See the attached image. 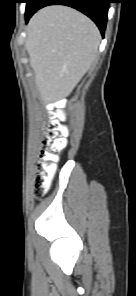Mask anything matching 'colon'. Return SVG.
I'll return each mask as SVG.
<instances>
[{
	"mask_svg": "<svg viewBox=\"0 0 136 296\" xmlns=\"http://www.w3.org/2000/svg\"><path fill=\"white\" fill-rule=\"evenodd\" d=\"M47 116L49 121L46 125V137L34 181V189L38 197L48 190L56 169L58 154L66 147L64 133L67 128L60 122L65 117L64 112H49Z\"/></svg>",
	"mask_w": 136,
	"mask_h": 296,
	"instance_id": "5ec220e1",
	"label": "colon"
}]
</instances>
